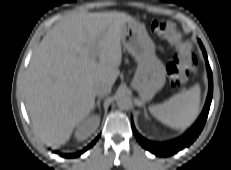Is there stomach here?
<instances>
[{
  "mask_svg": "<svg viewBox=\"0 0 231 170\" xmlns=\"http://www.w3.org/2000/svg\"><path fill=\"white\" fill-rule=\"evenodd\" d=\"M122 43L138 63L135 86L140 94L145 97L150 89L162 86L165 82L166 70L155 57L154 43L149 38L144 25L136 21L124 25Z\"/></svg>",
  "mask_w": 231,
  "mask_h": 170,
  "instance_id": "stomach-1",
  "label": "stomach"
}]
</instances>
